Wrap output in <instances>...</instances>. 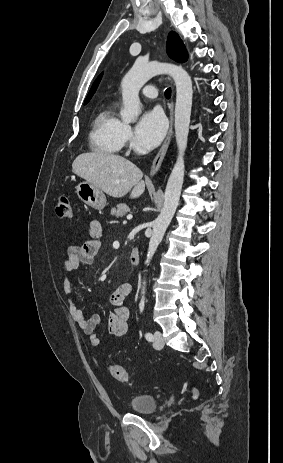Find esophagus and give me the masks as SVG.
Instances as JSON below:
<instances>
[{
  "instance_id": "1",
  "label": "esophagus",
  "mask_w": 283,
  "mask_h": 463,
  "mask_svg": "<svg viewBox=\"0 0 283 463\" xmlns=\"http://www.w3.org/2000/svg\"><path fill=\"white\" fill-rule=\"evenodd\" d=\"M169 118H170V126H169V131L166 136V139L160 148L159 152L157 153L152 166L150 170V176H154L157 171L159 170L162 161L166 155L167 149L169 147V144L171 142L172 134H173V121H174V102L173 100L169 103Z\"/></svg>"
}]
</instances>
